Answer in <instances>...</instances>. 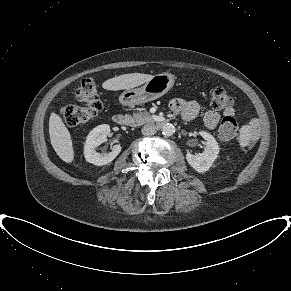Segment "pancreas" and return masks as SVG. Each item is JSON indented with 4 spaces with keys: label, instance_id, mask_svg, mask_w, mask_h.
I'll return each mask as SVG.
<instances>
[{
    "label": "pancreas",
    "instance_id": "obj_1",
    "mask_svg": "<svg viewBox=\"0 0 291 291\" xmlns=\"http://www.w3.org/2000/svg\"><path fill=\"white\" fill-rule=\"evenodd\" d=\"M152 117L147 111L134 113L131 117V125L134 127L141 126L147 122H151Z\"/></svg>",
    "mask_w": 291,
    "mask_h": 291
}]
</instances>
